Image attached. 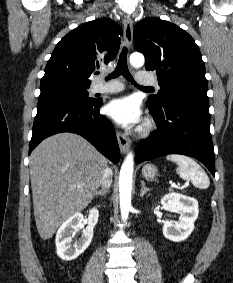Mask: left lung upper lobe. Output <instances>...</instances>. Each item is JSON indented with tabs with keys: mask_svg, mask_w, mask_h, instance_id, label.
<instances>
[{
	"mask_svg": "<svg viewBox=\"0 0 233 283\" xmlns=\"http://www.w3.org/2000/svg\"><path fill=\"white\" fill-rule=\"evenodd\" d=\"M137 51L144 54L146 70H155L160 90L147 101L155 108L187 95L207 97L205 66L193 38L168 21L148 17L134 28Z\"/></svg>",
	"mask_w": 233,
	"mask_h": 283,
	"instance_id": "1",
	"label": "left lung upper lobe"
}]
</instances>
